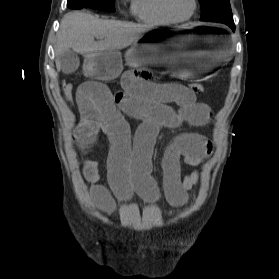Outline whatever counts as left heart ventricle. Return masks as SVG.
I'll return each mask as SVG.
<instances>
[{
  "label": "left heart ventricle",
  "instance_id": "obj_1",
  "mask_svg": "<svg viewBox=\"0 0 279 279\" xmlns=\"http://www.w3.org/2000/svg\"><path fill=\"white\" fill-rule=\"evenodd\" d=\"M169 11L178 18L187 17L193 9V0H167Z\"/></svg>",
  "mask_w": 279,
  "mask_h": 279
}]
</instances>
